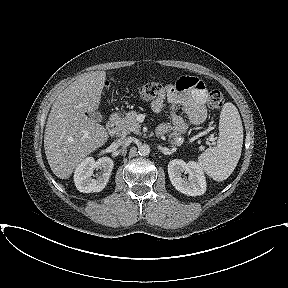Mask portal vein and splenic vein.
<instances>
[{
  "instance_id": "18ae733b",
  "label": "portal vein and splenic vein",
  "mask_w": 288,
  "mask_h": 288,
  "mask_svg": "<svg viewBox=\"0 0 288 288\" xmlns=\"http://www.w3.org/2000/svg\"><path fill=\"white\" fill-rule=\"evenodd\" d=\"M194 141V138H191L190 139V142ZM210 141H214V138L213 137H210Z\"/></svg>"
}]
</instances>
